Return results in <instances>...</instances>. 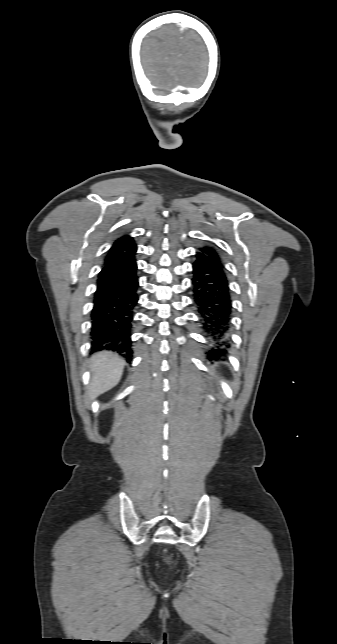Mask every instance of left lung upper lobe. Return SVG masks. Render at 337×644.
Instances as JSON below:
<instances>
[{
	"mask_svg": "<svg viewBox=\"0 0 337 644\" xmlns=\"http://www.w3.org/2000/svg\"><path fill=\"white\" fill-rule=\"evenodd\" d=\"M199 251L202 252V253H205V254H207V255H209L211 257H214L215 259H217L218 261H220L222 263L221 257L218 254V252L214 249V247L205 246V247L200 248Z\"/></svg>",
	"mask_w": 337,
	"mask_h": 644,
	"instance_id": "left-lung-upper-lobe-1",
	"label": "left lung upper lobe"
}]
</instances>
